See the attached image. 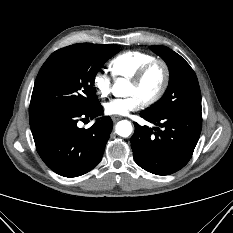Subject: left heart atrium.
Wrapping results in <instances>:
<instances>
[{
    "label": "left heart atrium",
    "instance_id": "obj_1",
    "mask_svg": "<svg viewBox=\"0 0 233 233\" xmlns=\"http://www.w3.org/2000/svg\"><path fill=\"white\" fill-rule=\"evenodd\" d=\"M142 106V101L136 95H129L124 98L112 99L104 104L106 114L113 116L127 115L136 111Z\"/></svg>",
    "mask_w": 233,
    "mask_h": 233
}]
</instances>
